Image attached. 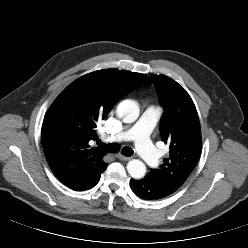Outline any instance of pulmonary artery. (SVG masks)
Segmentation results:
<instances>
[{
	"label": "pulmonary artery",
	"mask_w": 248,
	"mask_h": 248,
	"mask_svg": "<svg viewBox=\"0 0 248 248\" xmlns=\"http://www.w3.org/2000/svg\"><path fill=\"white\" fill-rule=\"evenodd\" d=\"M162 111L155 105L148 106L140 118L127 130L109 137L111 142L133 141L138 154L151 166L160 162V151L150 140V133L160 118Z\"/></svg>",
	"instance_id": "pulmonary-artery-1"
}]
</instances>
